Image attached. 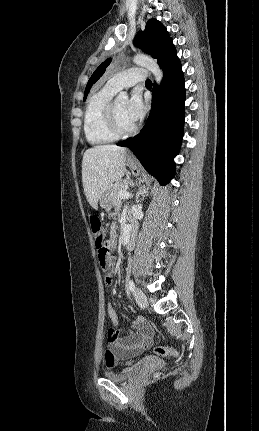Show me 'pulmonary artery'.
<instances>
[{"instance_id":"pulmonary-artery-1","label":"pulmonary artery","mask_w":259,"mask_h":431,"mask_svg":"<svg viewBox=\"0 0 259 431\" xmlns=\"http://www.w3.org/2000/svg\"><path fill=\"white\" fill-rule=\"evenodd\" d=\"M146 76V70L141 68H131L113 75L107 81L106 85L114 89L115 91H119L122 88L130 87L138 82L145 81Z\"/></svg>"}]
</instances>
